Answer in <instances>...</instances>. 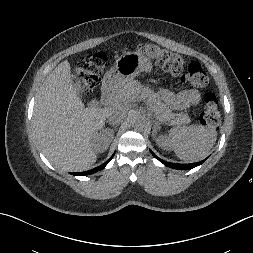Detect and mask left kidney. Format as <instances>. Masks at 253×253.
<instances>
[{"label":"left kidney","mask_w":253,"mask_h":253,"mask_svg":"<svg viewBox=\"0 0 253 253\" xmlns=\"http://www.w3.org/2000/svg\"><path fill=\"white\" fill-rule=\"evenodd\" d=\"M159 147H161L164 150H169V143L168 140L164 136H159V138L156 140Z\"/></svg>","instance_id":"left-kidney-1"}]
</instances>
